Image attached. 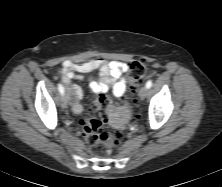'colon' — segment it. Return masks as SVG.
Masks as SVG:
<instances>
[{
	"label": "colon",
	"instance_id": "5ec220e1",
	"mask_svg": "<svg viewBox=\"0 0 222 187\" xmlns=\"http://www.w3.org/2000/svg\"><path fill=\"white\" fill-rule=\"evenodd\" d=\"M147 65L143 60L133 61L130 65L129 79L131 88L136 91L146 77ZM139 118L134 114L132 121ZM126 122V115L115 107L109 98L101 94L97 100L90 105L87 117L79 120V126L83 131L87 144L91 147L101 146L109 151L115 148L123 134L122 127ZM112 124L116 127L115 132H110L106 127Z\"/></svg>",
	"mask_w": 222,
	"mask_h": 187
}]
</instances>
